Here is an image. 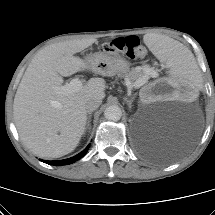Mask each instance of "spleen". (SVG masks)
I'll list each match as a JSON object with an SVG mask.
<instances>
[{"label":"spleen","instance_id":"obj_1","mask_svg":"<svg viewBox=\"0 0 215 215\" xmlns=\"http://www.w3.org/2000/svg\"><path fill=\"white\" fill-rule=\"evenodd\" d=\"M145 45L158 58L166 61L167 67L173 74H179V79L196 84L200 80L197 61L191 59V52L182 47L178 42L170 41L167 38L156 39L154 36L145 38ZM181 77V78H180Z\"/></svg>","mask_w":215,"mask_h":215}]
</instances>
